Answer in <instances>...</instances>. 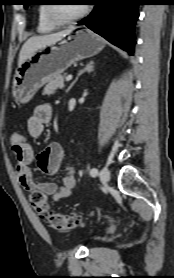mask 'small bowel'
I'll return each instance as SVG.
<instances>
[{
  "mask_svg": "<svg viewBox=\"0 0 174 278\" xmlns=\"http://www.w3.org/2000/svg\"><path fill=\"white\" fill-rule=\"evenodd\" d=\"M53 116L51 105L45 103L35 107L33 114L28 119L27 129L31 137L37 138L44 131ZM12 151L16 158V177L28 192L40 191L51 196L54 201L69 197L76 187V172L72 166L65 165V154L62 146L57 142L50 143L38 155H35L32 145L26 140L20 145L12 144ZM36 163L39 170L45 174L53 175L64 170L63 183L37 182L31 170V165Z\"/></svg>",
  "mask_w": 174,
  "mask_h": 278,
  "instance_id": "obj_1",
  "label": "small bowel"
}]
</instances>
